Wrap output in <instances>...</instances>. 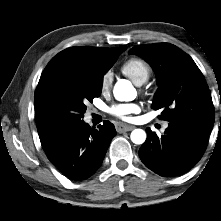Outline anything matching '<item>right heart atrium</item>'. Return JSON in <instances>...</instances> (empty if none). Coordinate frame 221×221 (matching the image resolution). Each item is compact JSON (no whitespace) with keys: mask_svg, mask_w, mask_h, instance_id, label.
<instances>
[{"mask_svg":"<svg viewBox=\"0 0 221 221\" xmlns=\"http://www.w3.org/2000/svg\"><path fill=\"white\" fill-rule=\"evenodd\" d=\"M112 83V73L110 71H107L103 74L101 78V88L103 90H107Z\"/></svg>","mask_w":221,"mask_h":221,"instance_id":"right-heart-atrium-1","label":"right heart atrium"}]
</instances>
